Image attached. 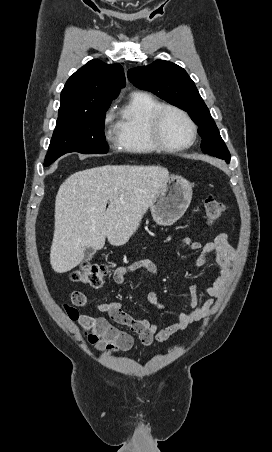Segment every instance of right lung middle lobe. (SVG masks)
<instances>
[{
  "mask_svg": "<svg viewBox=\"0 0 272 452\" xmlns=\"http://www.w3.org/2000/svg\"><path fill=\"white\" fill-rule=\"evenodd\" d=\"M108 107L89 113L58 117L44 166H49L60 156L70 152L107 153L104 118Z\"/></svg>",
  "mask_w": 272,
  "mask_h": 452,
  "instance_id": "dd1d6c3e",
  "label": "right lung middle lobe"
}]
</instances>
